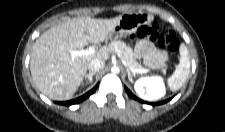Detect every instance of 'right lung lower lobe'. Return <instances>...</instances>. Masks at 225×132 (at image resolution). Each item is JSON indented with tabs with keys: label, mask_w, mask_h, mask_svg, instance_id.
I'll use <instances>...</instances> for the list:
<instances>
[{
	"label": "right lung lower lobe",
	"mask_w": 225,
	"mask_h": 132,
	"mask_svg": "<svg viewBox=\"0 0 225 132\" xmlns=\"http://www.w3.org/2000/svg\"><path fill=\"white\" fill-rule=\"evenodd\" d=\"M97 87H98V84L92 90H90L89 92H87L86 94H84L83 96H81L79 98H76L74 100L65 101V102H59V104L69 106V105H72V104L80 103L83 100H85L86 98H88L97 89Z\"/></svg>",
	"instance_id": "obj_1"
}]
</instances>
